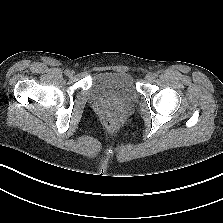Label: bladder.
Listing matches in <instances>:
<instances>
[{"instance_id": "obj_1", "label": "bladder", "mask_w": 223, "mask_h": 223, "mask_svg": "<svg viewBox=\"0 0 223 223\" xmlns=\"http://www.w3.org/2000/svg\"><path fill=\"white\" fill-rule=\"evenodd\" d=\"M88 95L93 100L119 103H134L138 97L132 77L124 72L95 74Z\"/></svg>"}]
</instances>
